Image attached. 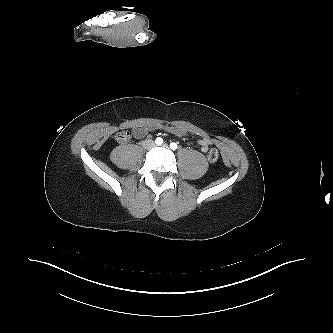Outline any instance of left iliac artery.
Segmentation results:
<instances>
[{
    "mask_svg": "<svg viewBox=\"0 0 333 333\" xmlns=\"http://www.w3.org/2000/svg\"><path fill=\"white\" fill-rule=\"evenodd\" d=\"M170 148H171L172 150H176V149H177V144L174 143V142H172V143L170 144Z\"/></svg>",
    "mask_w": 333,
    "mask_h": 333,
    "instance_id": "obj_1",
    "label": "left iliac artery"
}]
</instances>
